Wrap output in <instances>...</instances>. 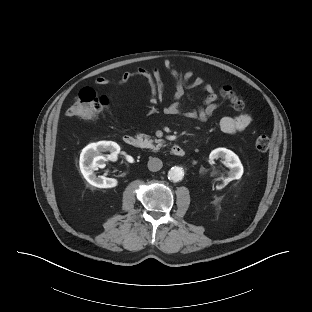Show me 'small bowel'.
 <instances>
[{
  "mask_svg": "<svg viewBox=\"0 0 312 312\" xmlns=\"http://www.w3.org/2000/svg\"><path fill=\"white\" fill-rule=\"evenodd\" d=\"M166 67L175 78L176 86L172 100L164 107V113L167 115L182 116L188 119H194L201 122L207 121L218 108V96L214 92L212 86L205 84L204 80L200 77L192 80V73H180L176 71L169 63ZM141 76L145 78L150 86L152 92V103L157 104L161 101L164 91L161 73L158 68L154 67L151 71L138 68L131 72L124 73L119 79L112 80L106 77H98L95 80L97 85H123L126 84L131 78ZM201 89L207 93L200 104L194 108H187L183 105L182 99L186 90L195 91ZM252 117L249 114H241L238 116H224L220 120V128L228 134H235L245 130L251 123Z\"/></svg>",
  "mask_w": 312,
  "mask_h": 312,
  "instance_id": "small-bowel-1",
  "label": "small bowel"
}]
</instances>
